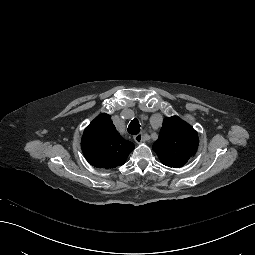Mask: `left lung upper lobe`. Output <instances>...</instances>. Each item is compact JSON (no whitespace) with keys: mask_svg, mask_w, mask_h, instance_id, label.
<instances>
[{"mask_svg":"<svg viewBox=\"0 0 255 255\" xmlns=\"http://www.w3.org/2000/svg\"><path fill=\"white\" fill-rule=\"evenodd\" d=\"M197 132L179 117L165 118L153 150L160 161L169 167H181L198 148Z\"/></svg>","mask_w":255,"mask_h":255,"instance_id":"obj_1","label":"left lung upper lobe"}]
</instances>
